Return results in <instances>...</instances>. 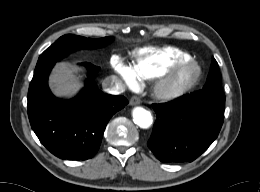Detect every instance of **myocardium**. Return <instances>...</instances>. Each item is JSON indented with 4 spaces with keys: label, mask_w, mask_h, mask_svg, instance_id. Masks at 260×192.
<instances>
[{
    "label": "myocardium",
    "mask_w": 260,
    "mask_h": 192,
    "mask_svg": "<svg viewBox=\"0 0 260 192\" xmlns=\"http://www.w3.org/2000/svg\"><path fill=\"white\" fill-rule=\"evenodd\" d=\"M185 72L190 75L181 80L180 76ZM200 76V67L195 62H180L157 78L152 86V93L159 100H173L190 91L198 83Z\"/></svg>",
    "instance_id": "obj_1"
}]
</instances>
